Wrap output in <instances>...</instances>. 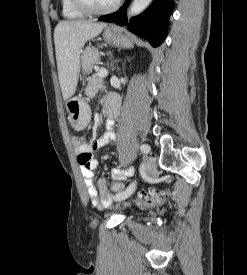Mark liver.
<instances>
[{"label": "liver", "instance_id": "obj_1", "mask_svg": "<svg viewBox=\"0 0 247 275\" xmlns=\"http://www.w3.org/2000/svg\"><path fill=\"white\" fill-rule=\"evenodd\" d=\"M106 23L85 20L62 21L54 30V43L59 83L67 101L76 91L82 48L86 41L98 36Z\"/></svg>", "mask_w": 247, "mask_h": 275}]
</instances>
